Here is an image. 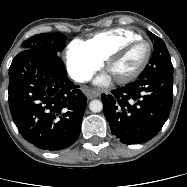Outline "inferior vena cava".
I'll return each instance as SVG.
<instances>
[{
  "label": "inferior vena cava",
  "instance_id": "inferior-vena-cava-1",
  "mask_svg": "<svg viewBox=\"0 0 187 187\" xmlns=\"http://www.w3.org/2000/svg\"><path fill=\"white\" fill-rule=\"evenodd\" d=\"M72 79L76 82H85L91 79V75L84 72H74L71 74Z\"/></svg>",
  "mask_w": 187,
  "mask_h": 187
}]
</instances>
